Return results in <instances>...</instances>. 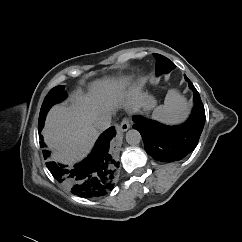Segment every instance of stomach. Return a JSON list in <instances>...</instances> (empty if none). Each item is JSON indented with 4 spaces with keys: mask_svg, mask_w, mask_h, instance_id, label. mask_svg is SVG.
Segmentation results:
<instances>
[{
    "mask_svg": "<svg viewBox=\"0 0 242 242\" xmlns=\"http://www.w3.org/2000/svg\"><path fill=\"white\" fill-rule=\"evenodd\" d=\"M149 102H150V105H151L152 107H154V105H155V100H154L153 97L149 96Z\"/></svg>",
    "mask_w": 242,
    "mask_h": 242,
    "instance_id": "stomach-1",
    "label": "stomach"
}]
</instances>
